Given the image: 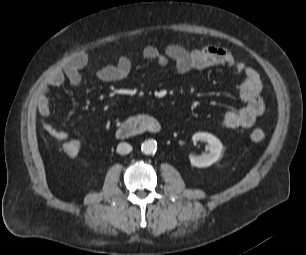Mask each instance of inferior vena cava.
Segmentation results:
<instances>
[{"label": "inferior vena cava", "instance_id": "inferior-vena-cava-1", "mask_svg": "<svg viewBox=\"0 0 306 255\" xmlns=\"http://www.w3.org/2000/svg\"><path fill=\"white\" fill-rule=\"evenodd\" d=\"M132 151V146L128 143H120L117 146V152L121 155L128 154Z\"/></svg>", "mask_w": 306, "mask_h": 255}]
</instances>
